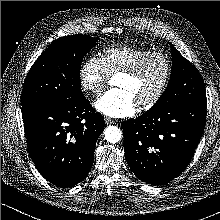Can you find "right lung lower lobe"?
Here are the masks:
<instances>
[{"instance_id":"1","label":"right lung lower lobe","mask_w":220,"mask_h":220,"mask_svg":"<svg viewBox=\"0 0 220 220\" xmlns=\"http://www.w3.org/2000/svg\"><path fill=\"white\" fill-rule=\"evenodd\" d=\"M22 117L30 157L47 181L68 188L87 177L104 119L84 96L68 104L24 106Z\"/></svg>"}]
</instances>
